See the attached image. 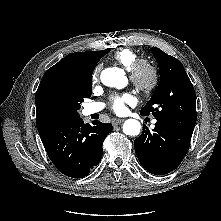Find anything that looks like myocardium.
Here are the masks:
<instances>
[{"instance_id": "f54148a6", "label": "myocardium", "mask_w": 221, "mask_h": 221, "mask_svg": "<svg viewBox=\"0 0 221 221\" xmlns=\"http://www.w3.org/2000/svg\"><path fill=\"white\" fill-rule=\"evenodd\" d=\"M130 80L141 92H153L160 81L159 70L154 63L147 59H137L130 69Z\"/></svg>"}]
</instances>
